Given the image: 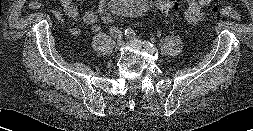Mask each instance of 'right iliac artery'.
Listing matches in <instances>:
<instances>
[{
	"mask_svg": "<svg viewBox=\"0 0 253 131\" xmlns=\"http://www.w3.org/2000/svg\"><path fill=\"white\" fill-rule=\"evenodd\" d=\"M110 34L112 36H114L116 38H120V39L123 37L122 32L116 27H113V28L110 29Z\"/></svg>",
	"mask_w": 253,
	"mask_h": 131,
	"instance_id": "obj_1",
	"label": "right iliac artery"
}]
</instances>
